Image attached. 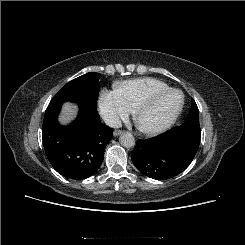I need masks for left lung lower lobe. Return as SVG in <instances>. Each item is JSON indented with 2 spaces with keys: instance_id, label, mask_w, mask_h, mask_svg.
<instances>
[{
  "instance_id": "0a47b994",
  "label": "left lung lower lobe",
  "mask_w": 245,
  "mask_h": 245,
  "mask_svg": "<svg viewBox=\"0 0 245 245\" xmlns=\"http://www.w3.org/2000/svg\"><path fill=\"white\" fill-rule=\"evenodd\" d=\"M200 138L201 133L175 127L152 139L139 140L131 158L142 174L157 180L169 179L189 166Z\"/></svg>"
}]
</instances>
